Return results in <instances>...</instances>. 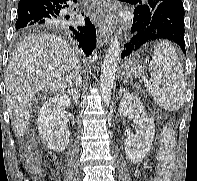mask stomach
I'll return each instance as SVG.
<instances>
[{
  "instance_id": "stomach-1",
  "label": "stomach",
  "mask_w": 197,
  "mask_h": 181,
  "mask_svg": "<svg viewBox=\"0 0 197 181\" xmlns=\"http://www.w3.org/2000/svg\"><path fill=\"white\" fill-rule=\"evenodd\" d=\"M146 67L139 59L132 58L125 62L122 66V74L125 78H139L143 75Z\"/></svg>"
}]
</instances>
